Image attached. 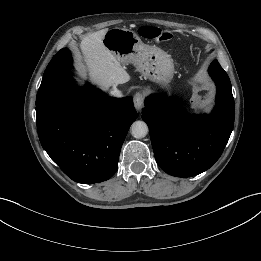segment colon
Listing matches in <instances>:
<instances>
[{"instance_id": "1", "label": "colon", "mask_w": 261, "mask_h": 261, "mask_svg": "<svg viewBox=\"0 0 261 261\" xmlns=\"http://www.w3.org/2000/svg\"><path fill=\"white\" fill-rule=\"evenodd\" d=\"M139 34L149 40L157 42H167L172 39L173 35L164 29L143 26L139 29ZM215 77L210 72H203L198 77L197 94L202 101L209 99L214 94Z\"/></svg>"}]
</instances>
